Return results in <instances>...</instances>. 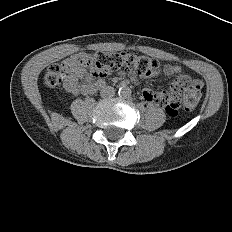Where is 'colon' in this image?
I'll return each mask as SVG.
<instances>
[{"label": "colon", "instance_id": "5ec220e1", "mask_svg": "<svg viewBox=\"0 0 232 232\" xmlns=\"http://www.w3.org/2000/svg\"><path fill=\"white\" fill-rule=\"evenodd\" d=\"M76 64L80 66H88L89 75L91 77H104L123 67L136 70L142 75H151L157 72L160 64L157 60L147 56H137L133 54L112 53V52H96L88 57L75 58ZM64 65L50 66L45 75L44 83L47 87H60L64 80ZM201 96V89L192 86L189 78L181 77L177 79L170 93H160L155 97V103L164 107L166 113L171 117H176L181 107L186 110L194 109Z\"/></svg>", "mask_w": 232, "mask_h": 232}]
</instances>
